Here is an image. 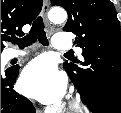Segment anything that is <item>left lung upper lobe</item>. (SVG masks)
Returning a JSON list of instances; mask_svg holds the SVG:
<instances>
[{
	"mask_svg": "<svg viewBox=\"0 0 121 113\" xmlns=\"http://www.w3.org/2000/svg\"><path fill=\"white\" fill-rule=\"evenodd\" d=\"M68 13L64 31L77 35L84 61L65 63L78 90L100 87L121 98V36L116 10L110 0H51Z\"/></svg>",
	"mask_w": 121,
	"mask_h": 113,
	"instance_id": "left-lung-upper-lobe-1",
	"label": "left lung upper lobe"
}]
</instances>
